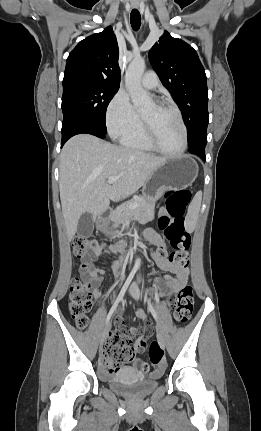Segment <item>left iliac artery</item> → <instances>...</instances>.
Segmentation results:
<instances>
[{
    "instance_id": "44dca946",
    "label": "left iliac artery",
    "mask_w": 261,
    "mask_h": 431,
    "mask_svg": "<svg viewBox=\"0 0 261 431\" xmlns=\"http://www.w3.org/2000/svg\"><path fill=\"white\" fill-rule=\"evenodd\" d=\"M146 299H147V302H148V308H149V311H150V312H151V314L153 315L154 319L157 321V320H158L157 313H156V311L154 310V308H153V306H152V304H151L150 300H149L147 297H146Z\"/></svg>"
}]
</instances>
